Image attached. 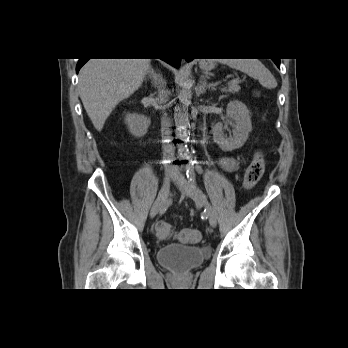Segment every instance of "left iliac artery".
<instances>
[{
	"label": "left iliac artery",
	"instance_id": "obj_1",
	"mask_svg": "<svg viewBox=\"0 0 348 348\" xmlns=\"http://www.w3.org/2000/svg\"><path fill=\"white\" fill-rule=\"evenodd\" d=\"M186 175L189 183L192 185H196V176L194 171L192 169H188Z\"/></svg>",
	"mask_w": 348,
	"mask_h": 348
}]
</instances>
